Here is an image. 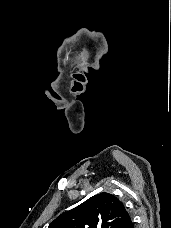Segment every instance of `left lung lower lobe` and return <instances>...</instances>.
Wrapping results in <instances>:
<instances>
[{"label":"left lung lower lobe","mask_w":171,"mask_h":228,"mask_svg":"<svg viewBox=\"0 0 171 228\" xmlns=\"http://www.w3.org/2000/svg\"><path fill=\"white\" fill-rule=\"evenodd\" d=\"M122 228H134V223L131 218L127 220V222L122 226Z\"/></svg>","instance_id":"obj_1"}]
</instances>
